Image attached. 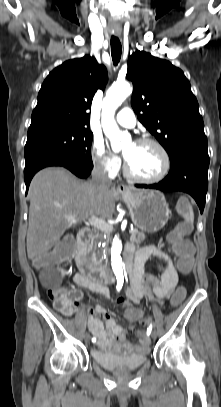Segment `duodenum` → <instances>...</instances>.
Returning <instances> with one entry per match:
<instances>
[{
  "mask_svg": "<svg viewBox=\"0 0 221 407\" xmlns=\"http://www.w3.org/2000/svg\"><path fill=\"white\" fill-rule=\"evenodd\" d=\"M89 236V231L86 229L81 230L77 235V250L75 260L77 262L80 272L98 283H107L113 279V275L95 265L90 257L87 255L86 243ZM125 270L130 273L133 270L132 254L126 251L125 254Z\"/></svg>",
  "mask_w": 221,
  "mask_h": 407,
  "instance_id": "1",
  "label": "duodenum"
}]
</instances>
